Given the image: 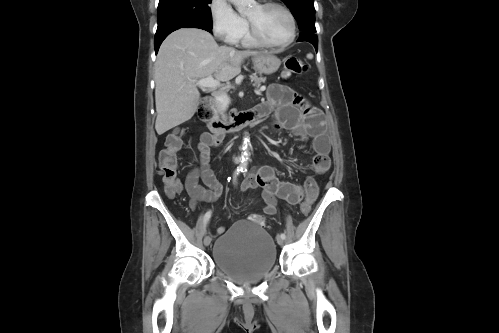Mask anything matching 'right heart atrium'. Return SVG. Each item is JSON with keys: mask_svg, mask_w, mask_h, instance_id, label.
Masks as SVG:
<instances>
[{"mask_svg": "<svg viewBox=\"0 0 499 333\" xmlns=\"http://www.w3.org/2000/svg\"><path fill=\"white\" fill-rule=\"evenodd\" d=\"M209 12L215 36L227 43H237L247 28L244 18L226 0H211Z\"/></svg>", "mask_w": 499, "mask_h": 333, "instance_id": "obj_1", "label": "right heart atrium"}]
</instances>
